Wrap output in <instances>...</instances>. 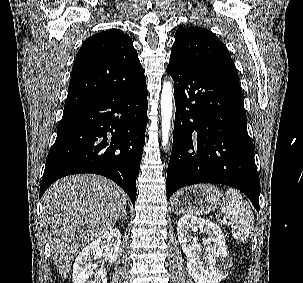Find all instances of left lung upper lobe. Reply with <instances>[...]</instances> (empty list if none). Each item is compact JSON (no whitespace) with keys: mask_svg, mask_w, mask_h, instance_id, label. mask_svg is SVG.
<instances>
[{"mask_svg":"<svg viewBox=\"0 0 303 283\" xmlns=\"http://www.w3.org/2000/svg\"><path fill=\"white\" fill-rule=\"evenodd\" d=\"M170 62L189 69L215 66L236 71L225 45L214 33L201 27L180 28L176 31Z\"/></svg>","mask_w":303,"mask_h":283,"instance_id":"left-lung-upper-lobe-1","label":"left lung upper lobe"}]
</instances>
